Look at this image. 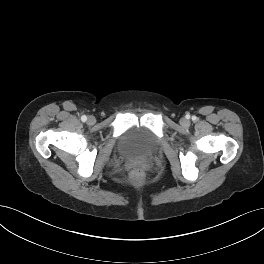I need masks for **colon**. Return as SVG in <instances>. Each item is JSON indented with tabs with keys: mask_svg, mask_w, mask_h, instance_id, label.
<instances>
[{
	"mask_svg": "<svg viewBox=\"0 0 264 264\" xmlns=\"http://www.w3.org/2000/svg\"><path fill=\"white\" fill-rule=\"evenodd\" d=\"M142 177V172L139 169H135L132 171V178L140 179Z\"/></svg>",
	"mask_w": 264,
	"mask_h": 264,
	"instance_id": "5ec220e1",
	"label": "colon"
}]
</instances>
